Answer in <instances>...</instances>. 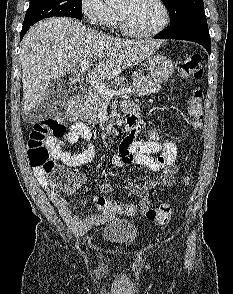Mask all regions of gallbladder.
<instances>
[{"mask_svg": "<svg viewBox=\"0 0 233 294\" xmlns=\"http://www.w3.org/2000/svg\"><path fill=\"white\" fill-rule=\"evenodd\" d=\"M66 87L59 81L51 83L45 90L43 99L36 111L35 120H43L54 113L67 99Z\"/></svg>", "mask_w": 233, "mask_h": 294, "instance_id": "obj_1", "label": "gallbladder"}]
</instances>
